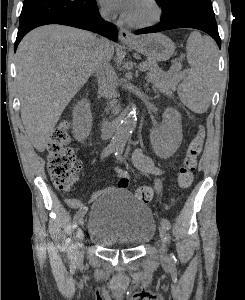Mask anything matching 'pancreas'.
<instances>
[{
  "instance_id": "pancreas-1",
  "label": "pancreas",
  "mask_w": 245,
  "mask_h": 300,
  "mask_svg": "<svg viewBox=\"0 0 245 300\" xmlns=\"http://www.w3.org/2000/svg\"><path fill=\"white\" fill-rule=\"evenodd\" d=\"M148 70V82H150L154 89L170 96L175 91L176 86L182 79V74L177 67H173L170 71L164 72L153 60H146L143 62Z\"/></svg>"
}]
</instances>
